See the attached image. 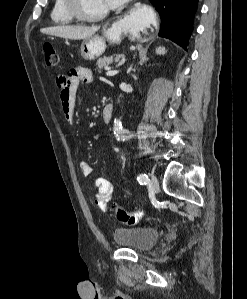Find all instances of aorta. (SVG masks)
<instances>
[{"instance_id":"1","label":"aorta","mask_w":247,"mask_h":299,"mask_svg":"<svg viewBox=\"0 0 247 299\" xmlns=\"http://www.w3.org/2000/svg\"><path fill=\"white\" fill-rule=\"evenodd\" d=\"M113 132L118 140H125L127 130L123 128L120 119L114 120Z\"/></svg>"}]
</instances>
